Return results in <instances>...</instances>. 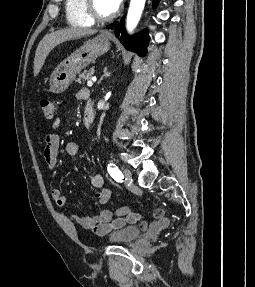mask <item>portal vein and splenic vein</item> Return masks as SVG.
Wrapping results in <instances>:
<instances>
[{"mask_svg": "<svg viewBox=\"0 0 255 287\" xmlns=\"http://www.w3.org/2000/svg\"><path fill=\"white\" fill-rule=\"evenodd\" d=\"M96 80H97V78H95V76H94V78H92V80H88V82H87L88 88H92L93 82H96Z\"/></svg>", "mask_w": 255, "mask_h": 287, "instance_id": "1", "label": "portal vein and splenic vein"}]
</instances>
